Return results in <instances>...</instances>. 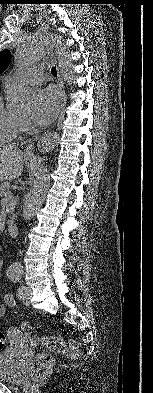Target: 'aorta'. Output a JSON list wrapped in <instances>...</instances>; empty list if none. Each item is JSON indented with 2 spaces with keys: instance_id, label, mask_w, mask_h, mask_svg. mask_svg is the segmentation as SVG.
<instances>
[{
  "instance_id": "1",
  "label": "aorta",
  "mask_w": 153,
  "mask_h": 393,
  "mask_svg": "<svg viewBox=\"0 0 153 393\" xmlns=\"http://www.w3.org/2000/svg\"><path fill=\"white\" fill-rule=\"evenodd\" d=\"M52 48H55L58 66L65 81L74 79L73 60L68 48L58 34L49 31L36 32L28 36L17 49V65L25 68L30 64L44 58ZM6 105L11 112H25L33 106L31 90L24 85L10 84L6 88ZM58 144L56 134H46L39 140V152L46 153ZM49 185L47 165H42L37 171L34 183L26 196L22 217L30 220L43 204ZM22 268L19 261L14 260L10 264V273L17 276Z\"/></svg>"
}]
</instances>
